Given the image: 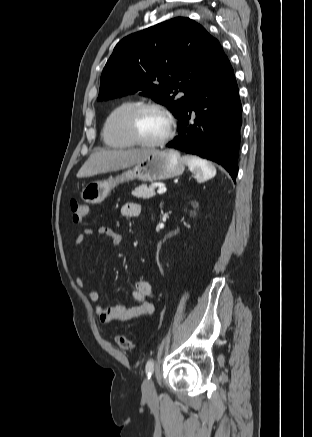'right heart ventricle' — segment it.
Masks as SVG:
<instances>
[{"label":"right heart ventricle","instance_id":"1","mask_svg":"<svg viewBox=\"0 0 312 437\" xmlns=\"http://www.w3.org/2000/svg\"><path fill=\"white\" fill-rule=\"evenodd\" d=\"M134 105L133 101L125 100L108 113L102 128V138L106 145L113 148H128L135 145L125 129L126 114Z\"/></svg>","mask_w":312,"mask_h":437}]
</instances>
